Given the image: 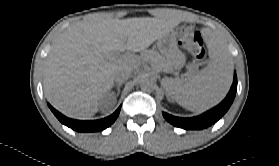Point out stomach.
Masks as SVG:
<instances>
[{"label": "stomach", "instance_id": "obj_1", "mask_svg": "<svg viewBox=\"0 0 279 166\" xmlns=\"http://www.w3.org/2000/svg\"><path fill=\"white\" fill-rule=\"evenodd\" d=\"M157 47L161 54L166 58L168 68L179 69L184 66L186 56L179 50L176 36L173 32L158 39Z\"/></svg>", "mask_w": 279, "mask_h": 166}]
</instances>
